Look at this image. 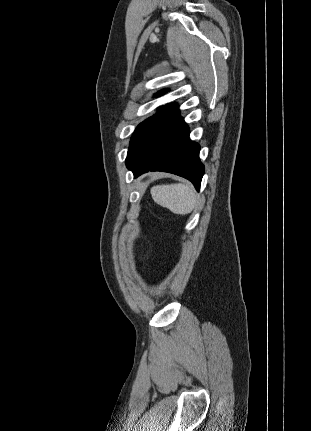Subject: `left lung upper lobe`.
<instances>
[{
	"mask_svg": "<svg viewBox=\"0 0 311 431\" xmlns=\"http://www.w3.org/2000/svg\"><path fill=\"white\" fill-rule=\"evenodd\" d=\"M165 91H162V92H160V93H157L156 94V96H159V95H161V94H163ZM152 117H150V118H148V119H146L145 121H143L142 123H140L138 126H137V128H136V130H135V132L133 133V135H132V138H131V141H130V145L133 143V141L135 140V138L137 137V135L139 134V132L142 130V128L146 125V123L151 119Z\"/></svg>",
	"mask_w": 311,
	"mask_h": 431,
	"instance_id": "5c2ea615",
	"label": "left lung upper lobe"
}]
</instances>
